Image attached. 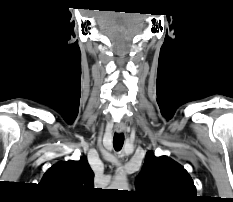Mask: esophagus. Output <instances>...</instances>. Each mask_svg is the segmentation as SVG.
Returning a JSON list of instances; mask_svg holds the SVG:
<instances>
[{
  "mask_svg": "<svg viewBox=\"0 0 233 202\" xmlns=\"http://www.w3.org/2000/svg\"><path fill=\"white\" fill-rule=\"evenodd\" d=\"M115 130L119 133L123 132L125 130V125L124 124H116L115 125Z\"/></svg>",
  "mask_w": 233,
  "mask_h": 202,
  "instance_id": "obj_1",
  "label": "esophagus"
}]
</instances>
